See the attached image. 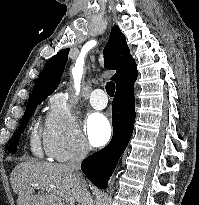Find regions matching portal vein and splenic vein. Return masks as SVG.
Instances as JSON below:
<instances>
[{
	"label": "portal vein and splenic vein",
	"mask_w": 199,
	"mask_h": 205,
	"mask_svg": "<svg viewBox=\"0 0 199 205\" xmlns=\"http://www.w3.org/2000/svg\"><path fill=\"white\" fill-rule=\"evenodd\" d=\"M57 194L59 196L63 197L69 205H75L73 199L67 197L65 194H63L61 192H57Z\"/></svg>",
	"instance_id": "portal-vein-and-splenic-vein-1"
}]
</instances>
